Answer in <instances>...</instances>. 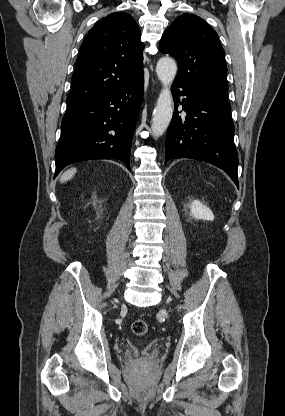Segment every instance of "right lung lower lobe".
<instances>
[{
	"mask_svg": "<svg viewBox=\"0 0 285 416\" xmlns=\"http://www.w3.org/2000/svg\"><path fill=\"white\" fill-rule=\"evenodd\" d=\"M143 86L144 76L106 97L67 108L55 152L54 177L69 164L92 159H118L130 170Z\"/></svg>",
	"mask_w": 285,
	"mask_h": 416,
	"instance_id": "98d812e1",
	"label": "right lung lower lobe"
}]
</instances>
